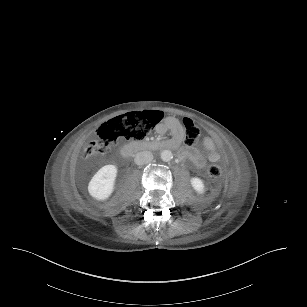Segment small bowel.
<instances>
[{
    "instance_id": "obj_1",
    "label": "small bowel",
    "mask_w": 307,
    "mask_h": 307,
    "mask_svg": "<svg viewBox=\"0 0 307 307\" xmlns=\"http://www.w3.org/2000/svg\"><path fill=\"white\" fill-rule=\"evenodd\" d=\"M169 129L171 132V139L169 140L173 148H177L183 141L184 130L182 125L176 120H170L165 126H161L160 130ZM203 147L207 152V157L210 162H218L220 160V153L216 149L215 142L210 137L203 139ZM179 157L181 159L189 160L194 166L203 168L206 164V159L201 151L196 147H182L179 150Z\"/></svg>"
}]
</instances>
